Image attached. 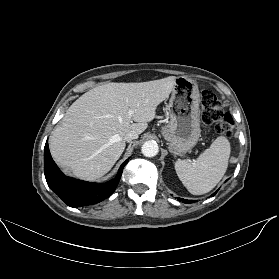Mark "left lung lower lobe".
<instances>
[{"instance_id":"0a47b994","label":"left lung lower lobe","mask_w":279,"mask_h":279,"mask_svg":"<svg viewBox=\"0 0 279 279\" xmlns=\"http://www.w3.org/2000/svg\"><path fill=\"white\" fill-rule=\"evenodd\" d=\"M215 194H216V192L212 196H214ZM178 199H179V201H182L183 203H192V202H194L192 200H184L182 198H178Z\"/></svg>"}]
</instances>
